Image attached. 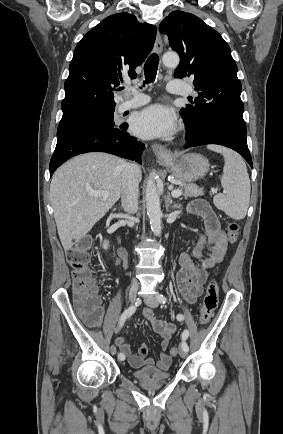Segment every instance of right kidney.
I'll return each instance as SVG.
<instances>
[{"instance_id":"obj_1","label":"right kidney","mask_w":283,"mask_h":434,"mask_svg":"<svg viewBox=\"0 0 283 434\" xmlns=\"http://www.w3.org/2000/svg\"><path fill=\"white\" fill-rule=\"evenodd\" d=\"M108 247H109V242H108L107 240H105L104 243H103V248H104L105 250H107Z\"/></svg>"}]
</instances>
